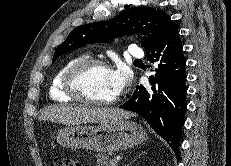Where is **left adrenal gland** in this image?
Returning a JSON list of instances; mask_svg holds the SVG:
<instances>
[{
	"mask_svg": "<svg viewBox=\"0 0 231 166\" xmlns=\"http://www.w3.org/2000/svg\"><path fill=\"white\" fill-rule=\"evenodd\" d=\"M145 153H146V152L140 153L138 156H136V157L134 158V160H133L132 162H130V164L133 163L134 161H136V159H137L138 157H141V155H144ZM126 166H129V165H126Z\"/></svg>",
	"mask_w": 231,
	"mask_h": 166,
	"instance_id": "1",
	"label": "left adrenal gland"
}]
</instances>
